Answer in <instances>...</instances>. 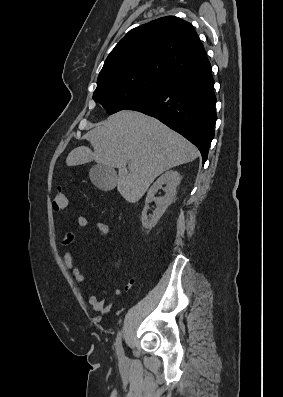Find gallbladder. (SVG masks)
Masks as SVG:
<instances>
[{
    "label": "gallbladder",
    "instance_id": "gallbladder-1",
    "mask_svg": "<svg viewBox=\"0 0 283 397\" xmlns=\"http://www.w3.org/2000/svg\"><path fill=\"white\" fill-rule=\"evenodd\" d=\"M92 183L102 191H111L116 186L117 175L114 169L104 165H95L90 170Z\"/></svg>",
    "mask_w": 283,
    "mask_h": 397
}]
</instances>
